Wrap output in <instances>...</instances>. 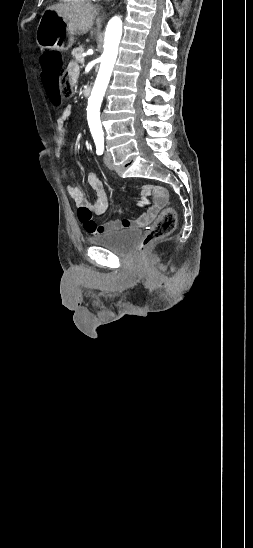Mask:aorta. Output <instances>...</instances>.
Instances as JSON below:
<instances>
[{
  "label": "aorta",
  "mask_w": 253,
  "mask_h": 548,
  "mask_svg": "<svg viewBox=\"0 0 253 548\" xmlns=\"http://www.w3.org/2000/svg\"><path fill=\"white\" fill-rule=\"evenodd\" d=\"M121 36L122 21L120 17L114 16L110 19L106 28L104 52L100 58V69L88 100L87 117L94 138H103L99 110L118 55Z\"/></svg>",
  "instance_id": "obj_1"
}]
</instances>
